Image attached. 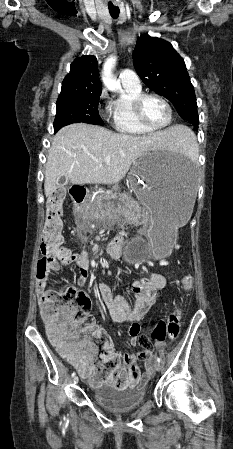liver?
<instances>
[{"label":"liver","instance_id":"liver-1","mask_svg":"<svg viewBox=\"0 0 233 449\" xmlns=\"http://www.w3.org/2000/svg\"><path fill=\"white\" fill-rule=\"evenodd\" d=\"M182 126L134 136L77 123L60 129L48 152L44 191L51 196L61 177L72 184H116L132 163L150 151L167 150L181 142ZM110 156V162L103 160Z\"/></svg>","mask_w":233,"mask_h":449}]
</instances>
